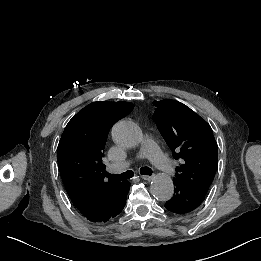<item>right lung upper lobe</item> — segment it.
Returning <instances> with one entry per match:
<instances>
[{
	"instance_id": "right-lung-upper-lobe-1",
	"label": "right lung upper lobe",
	"mask_w": 261,
	"mask_h": 261,
	"mask_svg": "<svg viewBox=\"0 0 261 261\" xmlns=\"http://www.w3.org/2000/svg\"><path fill=\"white\" fill-rule=\"evenodd\" d=\"M133 108L128 102H93L80 110L62 133L58 165L67 193L81 214L96 198L124 183L105 181L102 158L110 128Z\"/></svg>"
}]
</instances>
